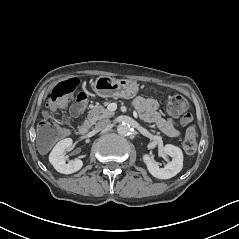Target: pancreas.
Masks as SVG:
<instances>
[{
    "label": "pancreas",
    "mask_w": 239,
    "mask_h": 239,
    "mask_svg": "<svg viewBox=\"0 0 239 239\" xmlns=\"http://www.w3.org/2000/svg\"><path fill=\"white\" fill-rule=\"evenodd\" d=\"M115 115V112L109 111L103 105L94 106L89 113L87 114L88 122L91 124H95L97 121L102 120L104 118H111ZM153 134L159 135L160 132L150 129ZM164 135V134H163Z\"/></svg>",
    "instance_id": "obj_1"
}]
</instances>
